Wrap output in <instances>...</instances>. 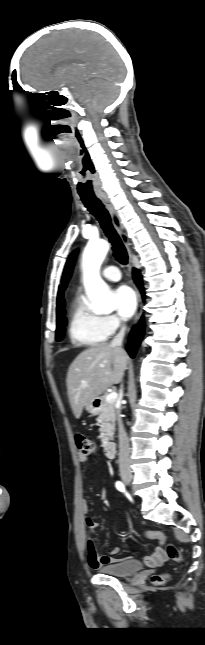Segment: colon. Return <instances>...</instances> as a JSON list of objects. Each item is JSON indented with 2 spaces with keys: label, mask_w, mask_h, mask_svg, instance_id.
<instances>
[{
  "label": "colon",
  "mask_w": 205,
  "mask_h": 645,
  "mask_svg": "<svg viewBox=\"0 0 205 645\" xmlns=\"http://www.w3.org/2000/svg\"><path fill=\"white\" fill-rule=\"evenodd\" d=\"M75 443L78 453L81 456L88 457L93 455L95 451V444L90 438L85 435L78 434L75 436ZM144 535L150 539H158L164 541L166 543L167 555L171 560L175 562H180L182 560V554L179 548L173 543L168 542L167 537L163 533L158 531H151L146 532ZM167 578V575L157 574L152 576V582L154 584L160 585L166 582Z\"/></svg>",
  "instance_id": "obj_1"
}]
</instances>
